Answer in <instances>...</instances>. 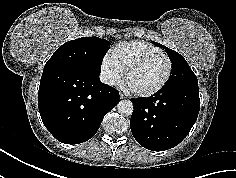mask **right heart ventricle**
Wrapping results in <instances>:
<instances>
[{"label": "right heart ventricle", "mask_w": 236, "mask_h": 178, "mask_svg": "<svg viewBox=\"0 0 236 178\" xmlns=\"http://www.w3.org/2000/svg\"><path fill=\"white\" fill-rule=\"evenodd\" d=\"M155 52L162 51L156 46L134 40L117 44L112 48L110 55L121 70H124L133 60Z\"/></svg>", "instance_id": "e07e8e85"}]
</instances>
